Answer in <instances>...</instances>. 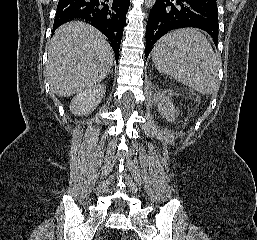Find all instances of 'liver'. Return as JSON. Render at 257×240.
I'll return each mask as SVG.
<instances>
[{
	"instance_id": "obj_1",
	"label": "liver",
	"mask_w": 257,
	"mask_h": 240,
	"mask_svg": "<svg viewBox=\"0 0 257 240\" xmlns=\"http://www.w3.org/2000/svg\"><path fill=\"white\" fill-rule=\"evenodd\" d=\"M114 53L94 27L72 21L54 33L48 50L47 78L59 97H69L100 83L109 73Z\"/></svg>"
}]
</instances>
